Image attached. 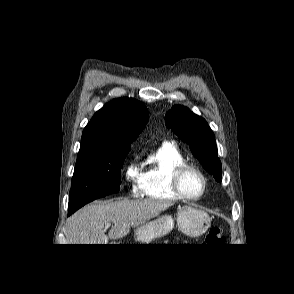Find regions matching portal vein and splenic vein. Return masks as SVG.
<instances>
[{
  "instance_id": "obj_1",
  "label": "portal vein and splenic vein",
  "mask_w": 294,
  "mask_h": 294,
  "mask_svg": "<svg viewBox=\"0 0 294 294\" xmlns=\"http://www.w3.org/2000/svg\"><path fill=\"white\" fill-rule=\"evenodd\" d=\"M110 226H111V223H107V224L105 225L106 228H108V227H110Z\"/></svg>"
}]
</instances>
